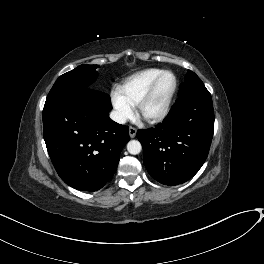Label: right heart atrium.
<instances>
[{
  "label": "right heart atrium",
  "mask_w": 264,
  "mask_h": 264,
  "mask_svg": "<svg viewBox=\"0 0 264 264\" xmlns=\"http://www.w3.org/2000/svg\"><path fill=\"white\" fill-rule=\"evenodd\" d=\"M112 104L116 119L123 123L132 117L134 106L116 90L112 93Z\"/></svg>",
  "instance_id": "1"
}]
</instances>
